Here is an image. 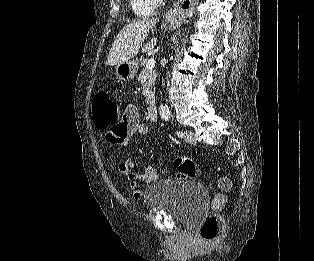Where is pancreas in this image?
Wrapping results in <instances>:
<instances>
[{"mask_svg":"<svg viewBox=\"0 0 314 261\" xmlns=\"http://www.w3.org/2000/svg\"><path fill=\"white\" fill-rule=\"evenodd\" d=\"M138 81L143 85V95L145 96V101L149 104L155 101V81L156 73L153 69L143 68L139 74Z\"/></svg>","mask_w":314,"mask_h":261,"instance_id":"pancreas-1","label":"pancreas"}]
</instances>
